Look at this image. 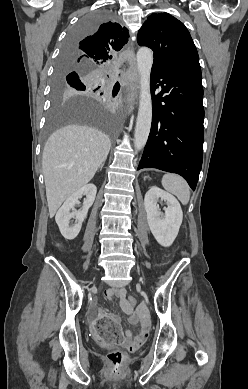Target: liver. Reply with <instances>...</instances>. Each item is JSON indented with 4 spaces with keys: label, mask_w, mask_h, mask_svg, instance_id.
Returning a JSON list of instances; mask_svg holds the SVG:
<instances>
[{
    "label": "liver",
    "mask_w": 248,
    "mask_h": 389,
    "mask_svg": "<svg viewBox=\"0 0 248 389\" xmlns=\"http://www.w3.org/2000/svg\"><path fill=\"white\" fill-rule=\"evenodd\" d=\"M111 142L102 131L81 125H68L47 140L42 171L50 217L74 192L94 177L106 161Z\"/></svg>",
    "instance_id": "liver-1"
}]
</instances>
